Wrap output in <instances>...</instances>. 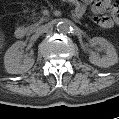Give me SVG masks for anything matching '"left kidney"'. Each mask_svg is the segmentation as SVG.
Instances as JSON below:
<instances>
[{
  "instance_id": "left-kidney-1",
  "label": "left kidney",
  "mask_w": 119,
  "mask_h": 119,
  "mask_svg": "<svg viewBox=\"0 0 119 119\" xmlns=\"http://www.w3.org/2000/svg\"><path fill=\"white\" fill-rule=\"evenodd\" d=\"M91 46L100 45L105 49L106 55L100 57L95 52H92L89 56L90 63L99 67H110L117 63L118 57L114 46L103 37H94L90 41Z\"/></svg>"
}]
</instances>
